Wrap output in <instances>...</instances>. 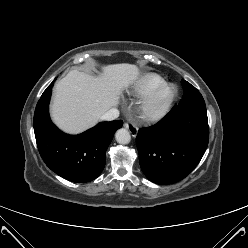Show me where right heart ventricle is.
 I'll list each match as a JSON object with an SVG mask.
<instances>
[{"instance_id":"1","label":"right heart ventricle","mask_w":248,"mask_h":248,"mask_svg":"<svg viewBox=\"0 0 248 248\" xmlns=\"http://www.w3.org/2000/svg\"><path fill=\"white\" fill-rule=\"evenodd\" d=\"M163 82L164 79L160 75L148 73L134 83L132 92L138 96H145Z\"/></svg>"}]
</instances>
